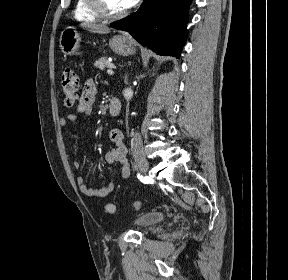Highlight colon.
I'll use <instances>...</instances> for the list:
<instances>
[{
    "label": "colon",
    "mask_w": 288,
    "mask_h": 280,
    "mask_svg": "<svg viewBox=\"0 0 288 280\" xmlns=\"http://www.w3.org/2000/svg\"><path fill=\"white\" fill-rule=\"evenodd\" d=\"M62 88L65 96V104L72 106L78 98L79 89V76L76 70L72 67H68L63 71L62 74ZM143 202L134 203V209L138 210L143 206ZM105 210L108 214L114 215L116 208L113 204H107Z\"/></svg>",
    "instance_id": "obj_1"
}]
</instances>
